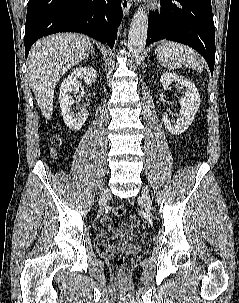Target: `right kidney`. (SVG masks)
<instances>
[{"instance_id": "1", "label": "right kidney", "mask_w": 239, "mask_h": 303, "mask_svg": "<svg viewBox=\"0 0 239 303\" xmlns=\"http://www.w3.org/2000/svg\"><path fill=\"white\" fill-rule=\"evenodd\" d=\"M77 78H83L84 81L88 84L95 83L96 70L90 66L76 68L61 83L59 94L61 114L63 116L64 122L72 131L80 130L89 115L87 111L83 112L80 115H74L71 112V107L74 103V99L70 93L74 92L77 94L80 88V84L77 81Z\"/></svg>"}]
</instances>
